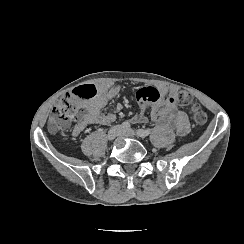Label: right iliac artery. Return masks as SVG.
<instances>
[{
	"label": "right iliac artery",
	"mask_w": 244,
	"mask_h": 244,
	"mask_svg": "<svg viewBox=\"0 0 244 244\" xmlns=\"http://www.w3.org/2000/svg\"><path fill=\"white\" fill-rule=\"evenodd\" d=\"M122 129H129L130 128V123L128 121H125L122 123Z\"/></svg>",
	"instance_id": "right-iliac-artery-1"
}]
</instances>
